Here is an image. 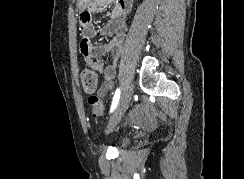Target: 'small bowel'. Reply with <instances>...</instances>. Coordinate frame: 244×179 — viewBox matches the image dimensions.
Returning <instances> with one entry per match:
<instances>
[{"mask_svg": "<svg viewBox=\"0 0 244 179\" xmlns=\"http://www.w3.org/2000/svg\"><path fill=\"white\" fill-rule=\"evenodd\" d=\"M85 18H79L81 28L80 52L84 63L103 76V83L99 95L104 96L112 87L115 78L116 66L123 51V43L127 33L126 15L127 4L123 1L112 2L110 0H92L86 3ZM113 6L112 19L102 27L94 30L91 27L92 19L96 14L104 12L109 6ZM94 35L111 36L106 43L93 45L91 38ZM110 54V62L107 64L103 57ZM137 115H146V110H137ZM131 121H148V126H156L152 116H131Z\"/></svg>", "mask_w": 244, "mask_h": 179, "instance_id": "small-bowel-1", "label": "small bowel"}]
</instances>
